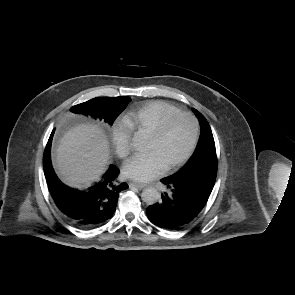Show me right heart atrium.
Here are the masks:
<instances>
[{
    "label": "right heart atrium",
    "instance_id": "1",
    "mask_svg": "<svg viewBox=\"0 0 295 295\" xmlns=\"http://www.w3.org/2000/svg\"><path fill=\"white\" fill-rule=\"evenodd\" d=\"M111 137L117 155L126 158L130 153V129L123 122H117L112 127Z\"/></svg>",
    "mask_w": 295,
    "mask_h": 295
}]
</instances>
